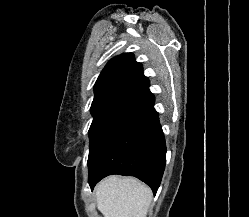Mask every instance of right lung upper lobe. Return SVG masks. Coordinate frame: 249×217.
I'll return each mask as SVG.
<instances>
[{"label": "right lung upper lobe", "mask_w": 249, "mask_h": 217, "mask_svg": "<svg viewBox=\"0 0 249 217\" xmlns=\"http://www.w3.org/2000/svg\"><path fill=\"white\" fill-rule=\"evenodd\" d=\"M145 78L143 67L132 53H123L111 59L100 73L95 86V97L132 89Z\"/></svg>", "instance_id": "obj_1"}]
</instances>
